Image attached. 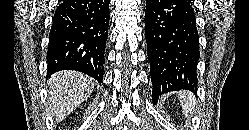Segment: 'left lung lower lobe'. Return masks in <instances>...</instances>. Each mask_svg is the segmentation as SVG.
Here are the masks:
<instances>
[{
  "label": "left lung lower lobe",
  "instance_id": "1",
  "mask_svg": "<svg viewBox=\"0 0 249 130\" xmlns=\"http://www.w3.org/2000/svg\"><path fill=\"white\" fill-rule=\"evenodd\" d=\"M152 99L187 89L197 91L199 37L190 0H147L145 12Z\"/></svg>",
  "mask_w": 249,
  "mask_h": 130
}]
</instances>
